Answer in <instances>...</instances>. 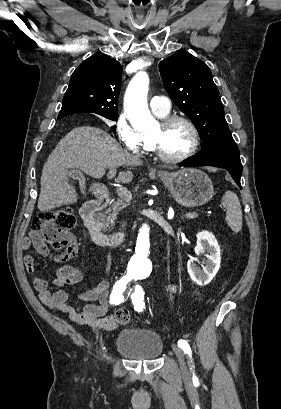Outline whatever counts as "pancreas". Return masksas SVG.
I'll use <instances>...</instances> for the list:
<instances>
[{
    "label": "pancreas",
    "instance_id": "obj_1",
    "mask_svg": "<svg viewBox=\"0 0 281 409\" xmlns=\"http://www.w3.org/2000/svg\"><path fill=\"white\" fill-rule=\"evenodd\" d=\"M122 209H124L122 207V198H117V202H115V205H113L111 209H108L107 213L112 219H117V215H119V211H122ZM196 217H198V215L195 216V219Z\"/></svg>",
    "mask_w": 281,
    "mask_h": 409
}]
</instances>
